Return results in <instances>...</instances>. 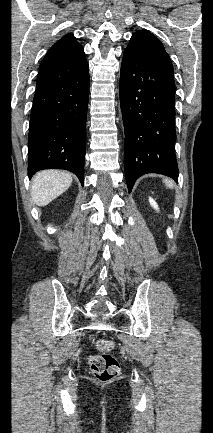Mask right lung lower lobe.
<instances>
[{
    "instance_id": "1",
    "label": "right lung lower lobe",
    "mask_w": 213,
    "mask_h": 433,
    "mask_svg": "<svg viewBox=\"0 0 213 433\" xmlns=\"http://www.w3.org/2000/svg\"><path fill=\"white\" fill-rule=\"evenodd\" d=\"M86 59L39 70L28 135V175L67 169L84 183L89 98Z\"/></svg>"
}]
</instances>
